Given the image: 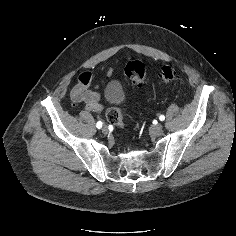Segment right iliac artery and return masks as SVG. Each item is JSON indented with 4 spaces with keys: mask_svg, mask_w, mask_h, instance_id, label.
<instances>
[{
    "mask_svg": "<svg viewBox=\"0 0 236 236\" xmlns=\"http://www.w3.org/2000/svg\"><path fill=\"white\" fill-rule=\"evenodd\" d=\"M96 127H97L98 129H100V128L102 127V122H101V121H98L97 124H96Z\"/></svg>",
    "mask_w": 236,
    "mask_h": 236,
    "instance_id": "obj_1",
    "label": "right iliac artery"
}]
</instances>
